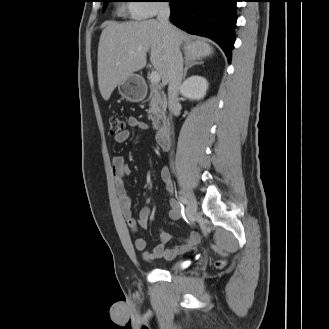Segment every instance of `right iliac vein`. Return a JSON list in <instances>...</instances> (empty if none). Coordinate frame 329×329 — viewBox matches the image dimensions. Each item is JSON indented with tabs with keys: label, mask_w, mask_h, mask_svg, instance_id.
<instances>
[{
	"label": "right iliac vein",
	"mask_w": 329,
	"mask_h": 329,
	"mask_svg": "<svg viewBox=\"0 0 329 329\" xmlns=\"http://www.w3.org/2000/svg\"><path fill=\"white\" fill-rule=\"evenodd\" d=\"M185 197L188 199L186 214L188 217H192L197 211V201L194 195L188 191H184Z\"/></svg>",
	"instance_id": "obj_1"
}]
</instances>
